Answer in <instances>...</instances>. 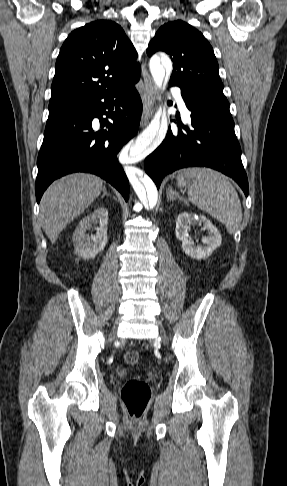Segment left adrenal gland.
I'll use <instances>...</instances> for the list:
<instances>
[{
  "label": "left adrenal gland",
  "instance_id": "1",
  "mask_svg": "<svg viewBox=\"0 0 287 486\" xmlns=\"http://www.w3.org/2000/svg\"><path fill=\"white\" fill-rule=\"evenodd\" d=\"M166 195H167V201L179 200L182 202H186V200L182 196H180L178 192L174 191L171 187L167 189Z\"/></svg>",
  "mask_w": 287,
  "mask_h": 486
}]
</instances>
